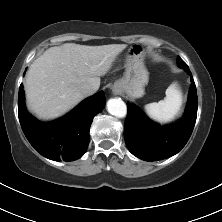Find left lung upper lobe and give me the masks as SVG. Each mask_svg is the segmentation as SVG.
I'll return each instance as SVG.
<instances>
[{"label": "left lung upper lobe", "mask_w": 222, "mask_h": 222, "mask_svg": "<svg viewBox=\"0 0 222 222\" xmlns=\"http://www.w3.org/2000/svg\"><path fill=\"white\" fill-rule=\"evenodd\" d=\"M177 65L185 70L188 69L187 64L179 56L177 57Z\"/></svg>", "instance_id": "left-lung-upper-lobe-1"}]
</instances>
